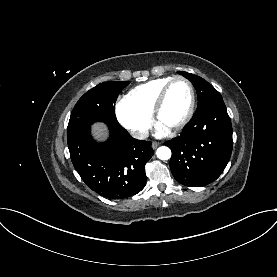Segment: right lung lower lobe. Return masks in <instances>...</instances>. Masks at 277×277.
<instances>
[{"label":"right lung lower lobe","instance_id":"98d812e1","mask_svg":"<svg viewBox=\"0 0 277 277\" xmlns=\"http://www.w3.org/2000/svg\"><path fill=\"white\" fill-rule=\"evenodd\" d=\"M110 138L97 143L90 127L68 141L71 161L82 180L96 193L122 199L146 184L145 164L153 156L150 141L137 140L119 124H108Z\"/></svg>","mask_w":277,"mask_h":277}]
</instances>
